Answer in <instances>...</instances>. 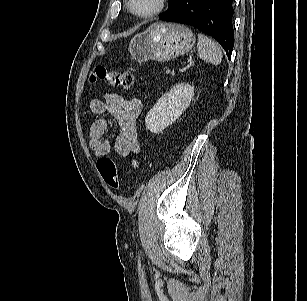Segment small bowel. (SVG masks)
Listing matches in <instances>:
<instances>
[{
  "mask_svg": "<svg viewBox=\"0 0 307 301\" xmlns=\"http://www.w3.org/2000/svg\"><path fill=\"white\" fill-rule=\"evenodd\" d=\"M90 109L94 115H108V118L101 117L91 125L89 146L96 156H109L111 153V142L105 135L113 121L119 126L118 135L114 140L116 152L121 156L138 152L137 124L142 110L139 99H127L121 94L110 93L104 99H92Z\"/></svg>",
  "mask_w": 307,
  "mask_h": 301,
  "instance_id": "small-bowel-1",
  "label": "small bowel"
}]
</instances>
